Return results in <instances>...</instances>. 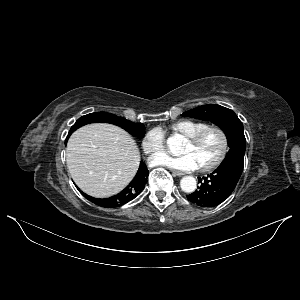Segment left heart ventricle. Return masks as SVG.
I'll use <instances>...</instances> for the list:
<instances>
[{"label":"left heart ventricle","mask_w":300,"mask_h":300,"mask_svg":"<svg viewBox=\"0 0 300 300\" xmlns=\"http://www.w3.org/2000/svg\"><path fill=\"white\" fill-rule=\"evenodd\" d=\"M222 148V138L218 131L210 130L196 144L185 141L180 153L190 154L198 167L209 164L217 158Z\"/></svg>","instance_id":"b2bd125f"}]
</instances>
